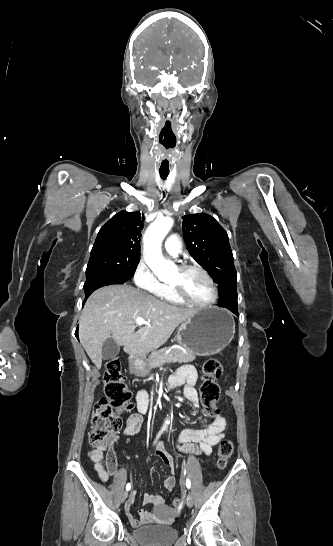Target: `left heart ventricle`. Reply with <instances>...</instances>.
<instances>
[{"instance_id": "left-heart-ventricle-1", "label": "left heart ventricle", "mask_w": 333, "mask_h": 546, "mask_svg": "<svg viewBox=\"0 0 333 546\" xmlns=\"http://www.w3.org/2000/svg\"><path fill=\"white\" fill-rule=\"evenodd\" d=\"M171 283L180 285L185 294L196 302H207L213 295L211 286L206 278L195 270L183 274L177 270Z\"/></svg>"}]
</instances>
